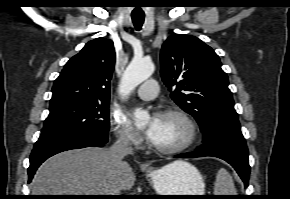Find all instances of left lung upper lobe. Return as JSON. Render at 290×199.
Wrapping results in <instances>:
<instances>
[{"label":"left lung upper lobe","instance_id":"1","mask_svg":"<svg viewBox=\"0 0 290 199\" xmlns=\"http://www.w3.org/2000/svg\"><path fill=\"white\" fill-rule=\"evenodd\" d=\"M161 76L172 99L191 114L204 141L219 132H241L226 73L214 50L200 39L170 36L161 50Z\"/></svg>","mask_w":290,"mask_h":199}]
</instances>
